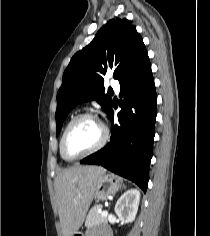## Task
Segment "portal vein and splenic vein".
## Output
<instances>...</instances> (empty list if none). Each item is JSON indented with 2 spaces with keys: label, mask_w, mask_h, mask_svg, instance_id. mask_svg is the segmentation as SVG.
Segmentation results:
<instances>
[{
  "label": "portal vein and splenic vein",
  "mask_w": 210,
  "mask_h": 236,
  "mask_svg": "<svg viewBox=\"0 0 210 236\" xmlns=\"http://www.w3.org/2000/svg\"><path fill=\"white\" fill-rule=\"evenodd\" d=\"M99 211L101 212V215L103 217H106L108 215V211L107 210L101 211V209H100Z\"/></svg>",
  "instance_id": "portal-vein-and-splenic-vein-1"
}]
</instances>
